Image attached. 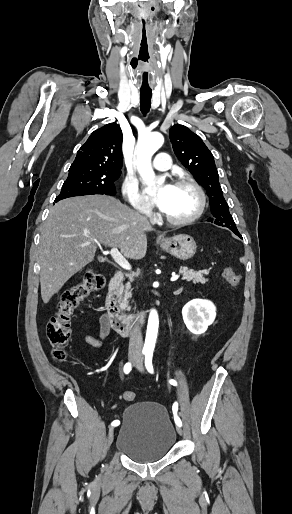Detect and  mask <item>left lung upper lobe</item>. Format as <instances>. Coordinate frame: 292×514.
Wrapping results in <instances>:
<instances>
[{
  "mask_svg": "<svg viewBox=\"0 0 292 514\" xmlns=\"http://www.w3.org/2000/svg\"><path fill=\"white\" fill-rule=\"evenodd\" d=\"M173 150L180 162L190 171L209 196L212 218L207 221L238 232L229 212L218 179V171L211 151L202 139L183 125H174L169 131Z\"/></svg>",
  "mask_w": 292,
  "mask_h": 514,
  "instance_id": "1",
  "label": "left lung upper lobe"
}]
</instances>
